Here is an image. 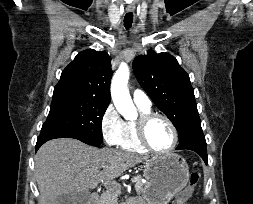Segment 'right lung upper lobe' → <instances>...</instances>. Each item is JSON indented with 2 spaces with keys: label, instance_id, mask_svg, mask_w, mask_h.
I'll return each mask as SVG.
<instances>
[{
  "label": "right lung upper lobe",
  "instance_id": "obj_1",
  "mask_svg": "<svg viewBox=\"0 0 253 204\" xmlns=\"http://www.w3.org/2000/svg\"><path fill=\"white\" fill-rule=\"evenodd\" d=\"M111 58L106 52H80L63 70L55 89L77 91L94 100L110 103Z\"/></svg>",
  "mask_w": 253,
  "mask_h": 204
}]
</instances>
